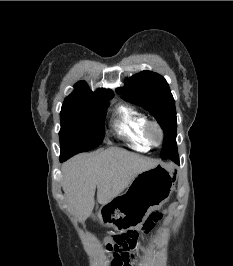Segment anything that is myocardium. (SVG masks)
Here are the masks:
<instances>
[{
  "instance_id": "f54148a6",
  "label": "myocardium",
  "mask_w": 233,
  "mask_h": 266,
  "mask_svg": "<svg viewBox=\"0 0 233 266\" xmlns=\"http://www.w3.org/2000/svg\"><path fill=\"white\" fill-rule=\"evenodd\" d=\"M158 134V139L154 140L153 133ZM144 136L151 146H159L164 139V130L161 125L156 121H148L144 128Z\"/></svg>"
}]
</instances>
